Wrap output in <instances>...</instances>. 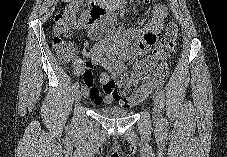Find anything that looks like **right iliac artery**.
Segmentation results:
<instances>
[{
  "label": "right iliac artery",
  "instance_id": "right-iliac-artery-1",
  "mask_svg": "<svg viewBox=\"0 0 227 157\" xmlns=\"http://www.w3.org/2000/svg\"><path fill=\"white\" fill-rule=\"evenodd\" d=\"M78 87H79V83H78V82H75V83L73 84V89H74V91L77 90Z\"/></svg>",
  "mask_w": 227,
  "mask_h": 157
}]
</instances>
